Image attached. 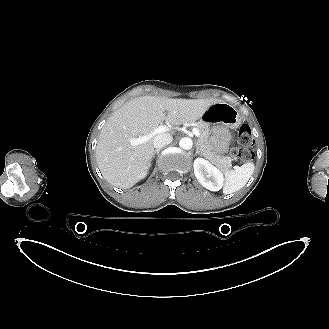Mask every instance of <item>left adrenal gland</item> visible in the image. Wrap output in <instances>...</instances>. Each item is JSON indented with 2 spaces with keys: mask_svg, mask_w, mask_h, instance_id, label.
<instances>
[{
  "mask_svg": "<svg viewBox=\"0 0 329 329\" xmlns=\"http://www.w3.org/2000/svg\"><path fill=\"white\" fill-rule=\"evenodd\" d=\"M199 154L200 156H203L202 152L199 149L198 143L196 144V153L195 155Z\"/></svg>",
  "mask_w": 329,
  "mask_h": 329,
  "instance_id": "a2214340",
  "label": "left adrenal gland"
}]
</instances>
